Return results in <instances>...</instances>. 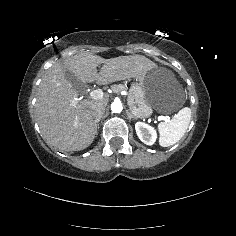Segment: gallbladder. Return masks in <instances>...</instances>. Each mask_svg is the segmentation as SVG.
I'll return each mask as SVG.
<instances>
[{
  "label": "gallbladder",
  "instance_id": "gallbladder-1",
  "mask_svg": "<svg viewBox=\"0 0 236 236\" xmlns=\"http://www.w3.org/2000/svg\"><path fill=\"white\" fill-rule=\"evenodd\" d=\"M64 78L70 84L71 87L74 88H82L86 86V83L83 79H81L78 75L72 72V70L63 68Z\"/></svg>",
  "mask_w": 236,
  "mask_h": 236
}]
</instances>
